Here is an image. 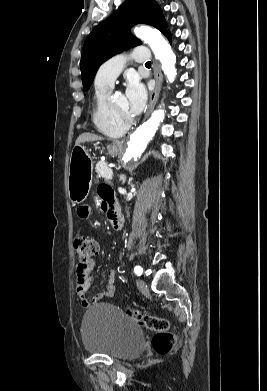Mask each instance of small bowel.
<instances>
[{
  "instance_id": "1",
  "label": "small bowel",
  "mask_w": 267,
  "mask_h": 391,
  "mask_svg": "<svg viewBox=\"0 0 267 391\" xmlns=\"http://www.w3.org/2000/svg\"><path fill=\"white\" fill-rule=\"evenodd\" d=\"M97 191L98 196L102 200L103 206L107 209V211L117 210L113 189L108 184H99ZM77 215L83 220L88 219L90 216V208L86 205L80 206L77 209ZM93 269L94 263H92L91 267L87 271H82L79 268L77 270L76 291L84 307H88L90 306V304L97 303L105 298L112 297L116 290L115 284L117 280V273L114 270H110L108 272V282L106 289L98 292L95 296L89 299L87 296V292L94 282V278L92 276Z\"/></svg>"
}]
</instances>
